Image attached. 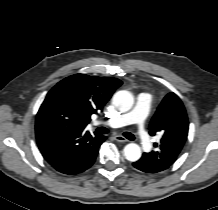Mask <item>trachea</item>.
I'll return each instance as SVG.
<instances>
[{
  "label": "trachea",
  "mask_w": 218,
  "mask_h": 210,
  "mask_svg": "<svg viewBox=\"0 0 218 210\" xmlns=\"http://www.w3.org/2000/svg\"><path fill=\"white\" fill-rule=\"evenodd\" d=\"M97 131L101 134H107L108 133V130L105 128V127H99L97 129ZM124 137H126L127 139L133 141L135 139L134 135L131 134L130 132H124L123 133Z\"/></svg>",
  "instance_id": "obj_1"
}]
</instances>
